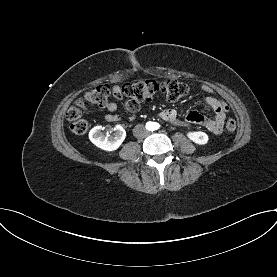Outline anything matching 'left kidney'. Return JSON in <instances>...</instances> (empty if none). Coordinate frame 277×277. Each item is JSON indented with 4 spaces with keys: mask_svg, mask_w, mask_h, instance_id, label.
Instances as JSON below:
<instances>
[{
    "mask_svg": "<svg viewBox=\"0 0 277 277\" xmlns=\"http://www.w3.org/2000/svg\"><path fill=\"white\" fill-rule=\"evenodd\" d=\"M187 137L196 144L204 145L208 142V135L201 131L188 132Z\"/></svg>",
    "mask_w": 277,
    "mask_h": 277,
    "instance_id": "5707ae66",
    "label": "left kidney"
}]
</instances>
